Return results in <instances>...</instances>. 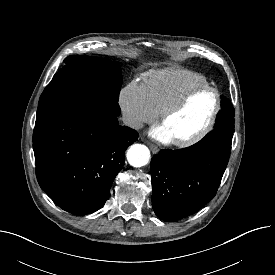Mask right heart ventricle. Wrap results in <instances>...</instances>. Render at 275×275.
Instances as JSON below:
<instances>
[{
	"mask_svg": "<svg viewBox=\"0 0 275 275\" xmlns=\"http://www.w3.org/2000/svg\"><path fill=\"white\" fill-rule=\"evenodd\" d=\"M205 84L206 78L198 73L169 68L151 72L143 88L155 113H160L188 90Z\"/></svg>",
	"mask_w": 275,
	"mask_h": 275,
	"instance_id": "1",
	"label": "right heart ventricle"
}]
</instances>
